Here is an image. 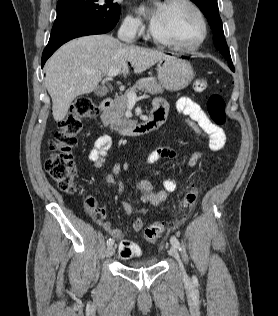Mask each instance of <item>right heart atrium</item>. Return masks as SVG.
I'll return each mask as SVG.
<instances>
[{
    "label": "right heart atrium",
    "mask_w": 278,
    "mask_h": 316,
    "mask_svg": "<svg viewBox=\"0 0 278 316\" xmlns=\"http://www.w3.org/2000/svg\"><path fill=\"white\" fill-rule=\"evenodd\" d=\"M121 27L124 33L130 37H139L144 32L142 21L133 15H127L123 19Z\"/></svg>",
    "instance_id": "right-heart-atrium-1"
}]
</instances>
